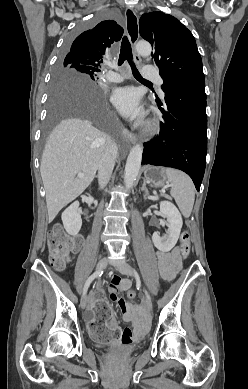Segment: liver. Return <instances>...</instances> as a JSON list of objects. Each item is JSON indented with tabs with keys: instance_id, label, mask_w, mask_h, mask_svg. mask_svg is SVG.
<instances>
[{
	"instance_id": "1",
	"label": "liver",
	"mask_w": 248,
	"mask_h": 389,
	"mask_svg": "<svg viewBox=\"0 0 248 389\" xmlns=\"http://www.w3.org/2000/svg\"><path fill=\"white\" fill-rule=\"evenodd\" d=\"M110 142L105 133L80 118L66 119L53 129L40 165L49 222L91 184Z\"/></svg>"
}]
</instances>
